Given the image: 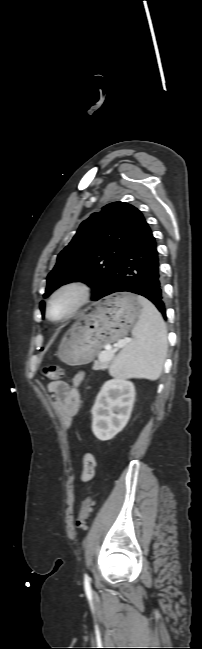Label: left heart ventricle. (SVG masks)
<instances>
[{
    "mask_svg": "<svg viewBox=\"0 0 202 649\" xmlns=\"http://www.w3.org/2000/svg\"><path fill=\"white\" fill-rule=\"evenodd\" d=\"M73 302L74 296L71 293L60 295L51 305L52 315L56 318L62 317L69 311Z\"/></svg>",
    "mask_w": 202,
    "mask_h": 649,
    "instance_id": "obj_1",
    "label": "left heart ventricle"
}]
</instances>
